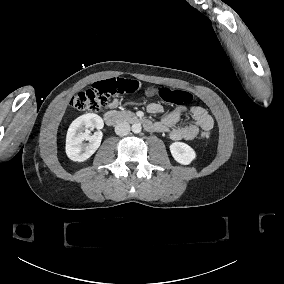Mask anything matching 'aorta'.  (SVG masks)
Returning a JSON list of instances; mask_svg holds the SVG:
<instances>
[{"label": "aorta", "instance_id": "obj_1", "mask_svg": "<svg viewBox=\"0 0 284 284\" xmlns=\"http://www.w3.org/2000/svg\"><path fill=\"white\" fill-rule=\"evenodd\" d=\"M142 130V127H141V124L139 123H135L132 125V132L135 133V134H138L140 133Z\"/></svg>", "mask_w": 284, "mask_h": 284}]
</instances>
